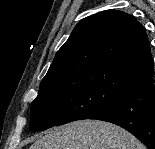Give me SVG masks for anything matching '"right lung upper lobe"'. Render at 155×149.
I'll return each mask as SVG.
<instances>
[{
  "mask_svg": "<svg viewBox=\"0 0 155 149\" xmlns=\"http://www.w3.org/2000/svg\"><path fill=\"white\" fill-rule=\"evenodd\" d=\"M107 67L154 77L146 31L133 16L118 10L82 19L56 53L42 81Z\"/></svg>",
  "mask_w": 155,
  "mask_h": 149,
  "instance_id": "right-lung-upper-lobe-1",
  "label": "right lung upper lobe"
}]
</instances>
